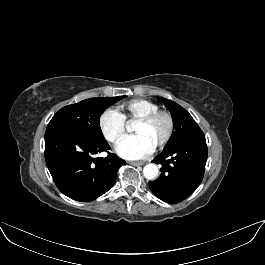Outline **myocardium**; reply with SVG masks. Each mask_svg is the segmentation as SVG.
I'll return each mask as SVG.
<instances>
[{"label":"myocardium","instance_id":"myocardium-1","mask_svg":"<svg viewBox=\"0 0 265 265\" xmlns=\"http://www.w3.org/2000/svg\"><path fill=\"white\" fill-rule=\"evenodd\" d=\"M158 117H163L166 120L167 130L162 140L154 147L155 151L163 149L171 140L175 129L173 116L168 111L158 109L138 118L136 121L141 124H149Z\"/></svg>","mask_w":265,"mask_h":265}]
</instances>
